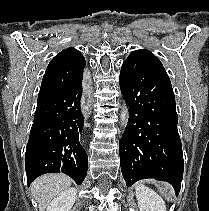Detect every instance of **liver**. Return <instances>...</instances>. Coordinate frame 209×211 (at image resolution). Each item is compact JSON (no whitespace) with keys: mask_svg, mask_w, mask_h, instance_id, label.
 <instances>
[{"mask_svg":"<svg viewBox=\"0 0 209 211\" xmlns=\"http://www.w3.org/2000/svg\"><path fill=\"white\" fill-rule=\"evenodd\" d=\"M72 180L64 174H46L31 185L39 211H45L52 199L71 186Z\"/></svg>","mask_w":209,"mask_h":211,"instance_id":"6515ba94","label":"liver"}]
</instances>
